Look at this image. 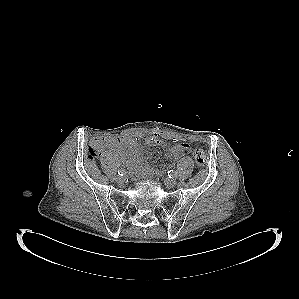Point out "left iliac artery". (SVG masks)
<instances>
[{"label": "left iliac artery", "mask_w": 299, "mask_h": 299, "mask_svg": "<svg viewBox=\"0 0 299 299\" xmlns=\"http://www.w3.org/2000/svg\"><path fill=\"white\" fill-rule=\"evenodd\" d=\"M168 176L170 178L176 177L177 176V172L175 170H170V171H168Z\"/></svg>", "instance_id": "1"}]
</instances>
